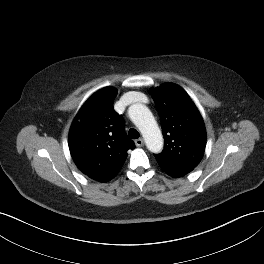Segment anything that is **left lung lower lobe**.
<instances>
[{
	"label": "left lung lower lobe",
	"instance_id": "left-lung-lower-lobe-1",
	"mask_svg": "<svg viewBox=\"0 0 264 264\" xmlns=\"http://www.w3.org/2000/svg\"><path fill=\"white\" fill-rule=\"evenodd\" d=\"M165 171L169 176L173 177V178H178V177H182L184 175H186L187 171H184V170H171V171H168V170H163Z\"/></svg>",
	"mask_w": 264,
	"mask_h": 264
}]
</instances>
